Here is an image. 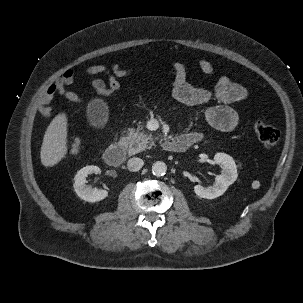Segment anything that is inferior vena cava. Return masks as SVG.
Instances as JSON below:
<instances>
[{"instance_id": "602c4592", "label": "inferior vena cava", "mask_w": 303, "mask_h": 303, "mask_svg": "<svg viewBox=\"0 0 303 303\" xmlns=\"http://www.w3.org/2000/svg\"><path fill=\"white\" fill-rule=\"evenodd\" d=\"M143 164L144 161L141 158L133 157L129 159L127 163V167L129 171L135 172V171H139L142 168Z\"/></svg>"}]
</instances>
